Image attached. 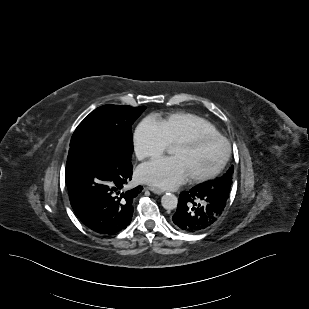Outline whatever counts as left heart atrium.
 <instances>
[{"label":"left heart atrium","instance_id":"39dd6f15","mask_svg":"<svg viewBox=\"0 0 309 309\" xmlns=\"http://www.w3.org/2000/svg\"><path fill=\"white\" fill-rule=\"evenodd\" d=\"M136 175L141 182L161 188H174L189 178L181 161L174 156L145 163Z\"/></svg>","mask_w":309,"mask_h":309}]
</instances>
